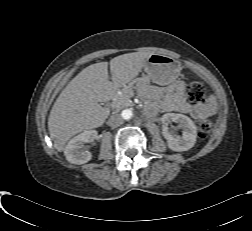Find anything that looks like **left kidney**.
Here are the masks:
<instances>
[{
	"instance_id": "obj_1",
	"label": "left kidney",
	"mask_w": 252,
	"mask_h": 231,
	"mask_svg": "<svg viewBox=\"0 0 252 231\" xmlns=\"http://www.w3.org/2000/svg\"><path fill=\"white\" fill-rule=\"evenodd\" d=\"M165 119L179 123L183 129L182 136L168 134L166 136L168 147L177 152L187 151L192 148L197 138V128L194 122L183 114L168 113Z\"/></svg>"
}]
</instances>
